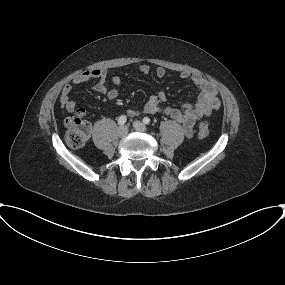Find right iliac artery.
Segmentation results:
<instances>
[{"instance_id": "1", "label": "right iliac artery", "mask_w": 285, "mask_h": 285, "mask_svg": "<svg viewBox=\"0 0 285 285\" xmlns=\"http://www.w3.org/2000/svg\"><path fill=\"white\" fill-rule=\"evenodd\" d=\"M126 121H127V117H126L125 115H122V116H120L119 119H118V124H119L120 126H122V125H124V124L126 123Z\"/></svg>"}]
</instances>
